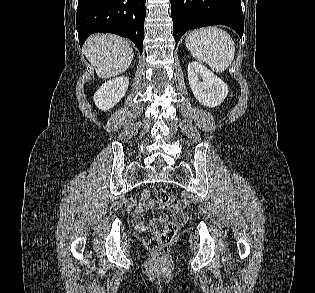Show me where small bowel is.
<instances>
[{
    "instance_id": "c3829d8e",
    "label": "small bowel",
    "mask_w": 315,
    "mask_h": 293,
    "mask_svg": "<svg viewBox=\"0 0 315 293\" xmlns=\"http://www.w3.org/2000/svg\"><path fill=\"white\" fill-rule=\"evenodd\" d=\"M150 190L145 189L139 199L138 203L133 211V222L136 226V228L140 230H145L147 229V224L144 222L143 219V213H145L149 208L154 207V208H164L167 209L168 206L165 204H160L158 202H150ZM170 213H173V210H170ZM168 220V215L166 213H161L158 217L153 218L150 221V227L152 230H162L163 224Z\"/></svg>"
}]
</instances>
